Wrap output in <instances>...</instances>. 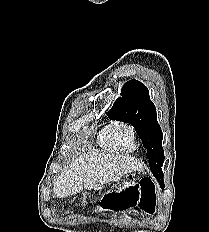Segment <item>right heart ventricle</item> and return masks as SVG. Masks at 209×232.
<instances>
[{
  "label": "right heart ventricle",
  "mask_w": 209,
  "mask_h": 232,
  "mask_svg": "<svg viewBox=\"0 0 209 232\" xmlns=\"http://www.w3.org/2000/svg\"><path fill=\"white\" fill-rule=\"evenodd\" d=\"M117 122H111L105 125L98 134V143L99 145L107 151L110 152H119L122 151V148L116 143L113 134V126Z\"/></svg>",
  "instance_id": "1"
}]
</instances>
